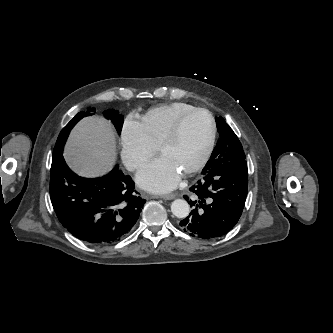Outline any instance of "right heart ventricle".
I'll use <instances>...</instances> for the list:
<instances>
[{
	"instance_id": "1",
	"label": "right heart ventricle",
	"mask_w": 333,
	"mask_h": 333,
	"mask_svg": "<svg viewBox=\"0 0 333 333\" xmlns=\"http://www.w3.org/2000/svg\"><path fill=\"white\" fill-rule=\"evenodd\" d=\"M195 108L184 102H174L149 109L141 117V123L151 141L158 146L175 120L184 112Z\"/></svg>"
}]
</instances>
